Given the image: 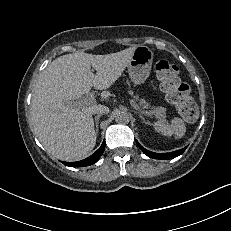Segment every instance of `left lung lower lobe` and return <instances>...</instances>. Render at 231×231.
<instances>
[{"label": "left lung lower lobe", "mask_w": 231, "mask_h": 231, "mask_svg": "<svg viewBox=\"0 0 231 231\" xmlns=\"http://www.w3.org/2000/svg\"><path fill=\"white\" fill-rule=\"evenodd\" d=\"M138 146L140 147V149L149 157L151 158H155V159H172V158H175L179 155H181L185 149H180V150H177V151H174V152H171V153H154V152H151V151H148L146 149H144L138 142H137Z\"/></svg>", "instance_id": "1"}]
</instances>
